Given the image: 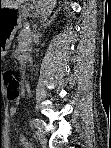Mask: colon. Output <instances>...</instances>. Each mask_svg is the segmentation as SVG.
<instances>
[{
  "instance_id": "colon-1",
  "label": "colon",
  "mask_w": 111,
  "mask_h": 148,
  "mask_svg": "<svg viewBox=\"0 0 111 148\" xmlns=\"http://www.w3.org/2000/svg\"><path fill=\"white\" fill-rule=\"evenodd\" d=\"M1 67V65H0ZM0 79L6 89V97L10 101H15L20 98V80L12 71H0Z\"/></svg>"
}]
</instances>
